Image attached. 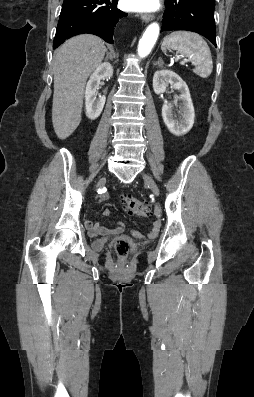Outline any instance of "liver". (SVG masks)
<instances>
[{
  "instance_id": "6515ba94",
  "label": "liver",
  "mask_w": 254,
  "mask_h": 397,
  "mask_svg": "<svg viewBox=\"0 0 254 397\" xmlns=\"http://www.w3.org/2000/svg\"><path fill=\"white\" fill-rule=\"evenodd\" d=\"M105 52L104 42L90 34L73 37L55 51L52 123L59 139L68 138L78 127L86 81Z\"/></svg>"
}]
</instances>
